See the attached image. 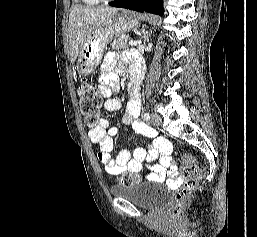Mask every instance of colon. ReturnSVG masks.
Here are the masks:
<instances>
[{
	"label": "colon",
	"instance_id": "1",
	"mask_svg": "<svg viewBox=\"0 0 257 237\" xmlns=\"http://www.w3.org/2000/svg\"><path fill=\"white\" fill-rule=\"evenodd\" d=\"M78 93L80 95V106L82 115L88 125L95 126L102 104V97L98 89L85 80H82ZM204 168L197 165L194 160L184 155L182 158V181L176 192L175 202L171 209L170 216L174 220L182 217L183 209L187 204L191 193L195 190L197 181L204 176ZM139 180L138 176L130 173H122L119 176L121 185L132 184Z\"/></svg>",
	"mask_w": 257,
	"mask_h": 237
}]
</instances>
